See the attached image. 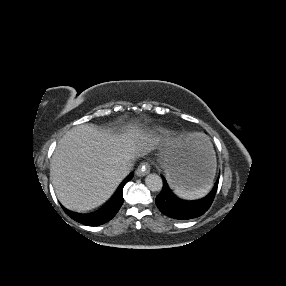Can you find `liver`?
<instances>
[{
  "instance_id": "6515ba94",
  "label": "liver",
  "mask_w": 286,
  "mask_h": 286,
  "mask_svg": "<svg viewBox=\"0 0 286 286\" xmlns=\"http://www.w3.org/2000/svg\"><path fill=\"white\" fill-rule=\"evenodd\" d=\"M188 137L206 138L201 133ZM159 139L138 126H128L113 135L89 125L69 130L58 142L50 164V176L59 201L68 209L86 212L105 203L123 178L116 168L124 160L143 156ZM183 138L166 144V151L178 148Z\"/></svg>"
}]
</instances>
